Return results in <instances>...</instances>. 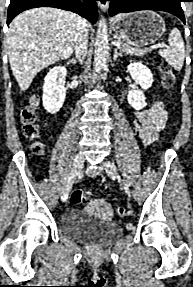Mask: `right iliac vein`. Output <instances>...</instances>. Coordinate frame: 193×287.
<instances>
[{"label": "right iliac vein", "instance_id": "63e3f726", "mask_svg": "<svg viewBox=\"0 0 193 287\" xmlns=\"http://www.w3.org/2000/svg\"><path fill=\"white\" fill-rule=\"evenodd\" d=\"M83 163H84V155L82 152H78L74 158V163H73L70 177L61 194V200L63 202L66 201V199L68 198L71 188L74 184V181L83 167Z\"/></svg>", "mask_w": 193, "mask_h": 287}]
</instances>
